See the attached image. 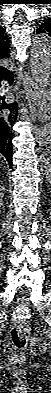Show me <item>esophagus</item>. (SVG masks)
Returning <instances> with one entry per match:
<instances>
[{
  "label": "esophagus",
  "instance_id": "34e87169",
  "mask_svg": "<svg viewBox=\"0 0 51 393\" xmlns=\"http://www.w3.org/2000/svg\"><path fill=\"white\" fill-rule=\"evenodd\" d=\"M25 86V97L29 106L36 105L38 119L42 122L49 121L51 119L50 104L43 100H37L36 96L38 94V85L35 84L33 79L28 73H26L24 78Z\"/></svg>",
  "mask_w": 51,
  "mask_h": 393
}]
</instances>
